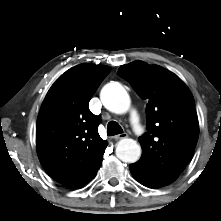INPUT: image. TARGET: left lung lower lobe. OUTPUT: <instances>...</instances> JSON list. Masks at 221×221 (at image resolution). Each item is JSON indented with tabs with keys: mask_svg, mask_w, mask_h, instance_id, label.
Segmentation results:
<instances>
[{
	"mask_svg": "<svg viewBox=\"0 0 221 221\" xmlns=\"http://www.w3.org/2000/svg\"><path fill=\"white\" fill-rule=\"evenodd\" d=\"M130 171L132 173V175L137 179L140 180V172L138 170V168L135 166V164H130ZM141 181V180H140ZM142 182V181H141ZM143 183V182H142ZM144 184V183H143Z\"/></svg>",
	"mask_w": 221,
	"mask_h": 221,
	"instance_id": "1",
	"label": "left lung lower lobe"
}]
</instances>
